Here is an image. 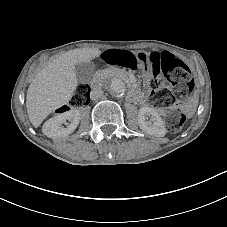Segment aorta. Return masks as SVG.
<instances>
[{
  "mask_svg": "<svg viewBox=\"0 0 227 227\" xmlns=\"http://www.w3.org/2000/svg\"><path fill=\"white\" fill-rule=\"evenodd\" d=\"M109 89L113 94L122 95L124 94L126 87L121 78H113L109 82Z\"/></svg>",
  "mask_w": 227,
  "mask_h": 227,
  "instance_id": "aorta-1",
  "label": "aorta"
}]
</instances>
